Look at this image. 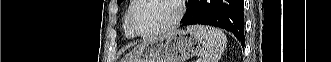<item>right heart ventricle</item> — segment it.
Masks as SVG:
<instances>
[{
    "label": "right heart ventricle",
    "mask_w": 331,
    "mask_h": 62,
    "mask_svg": "<svg viewBox=\"0 0 331 62\" xmlns=\"http://www.w3.org/2000/svg\"><path fill=\"white\" fill-rule=\"evenodd\" d=\"M129 10H130V6L128 7L125 15H124V18H123V29H124V34L127 38H134L135 35L131 32L130 28H129V25H128V13H129Z\"/></svg>",
    "instance_id": "1"
}]
</instances>
